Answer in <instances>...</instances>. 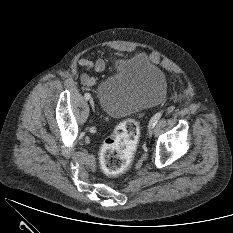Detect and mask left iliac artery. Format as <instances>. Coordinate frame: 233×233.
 Wrapping results in <instances>:
<instances>
[{
    "label": "left iliac artery",
    "mask_w": 233,
    "mask_h": 233,
    "mask_svg": "<svg viewBox=\"0 0 233 233\" xmlns=\"http://www.w3.org/2000/svg\"><path fill=\"white\" fill-rule=\"evenodd\" d=\"M161 116H162V112L156 113V114L151 118V120H150V122H149V126L154 127V126L157 124V122H158V120L160 119Z\"/></svg>",
    "instance_id": "44dca946"
}]
</instances>
